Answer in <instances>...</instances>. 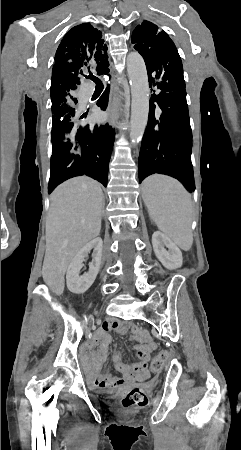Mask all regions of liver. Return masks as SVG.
I'll return each mask as SVG.
<instances>
[{"label": "liver", "instance_id": "liver-1", "mask_svg": "<svg viewBox=\"0 0 241 450\" xmlns=\"http://www.w3.org/2000/svg\"><path fill=\"white\" fill-rule=\"evenodd\" d=\"M50 200L42 276L60 296L72 258L100 234L104 196L98 182L79 176L60 184Z\"/></svg>", "mask_w": 241, "mask_h": 450}]
</instances>
